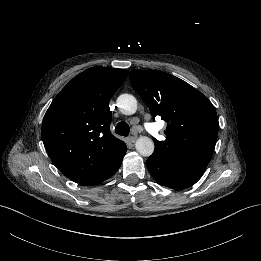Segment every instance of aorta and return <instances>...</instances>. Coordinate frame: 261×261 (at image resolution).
I'll use <instances>...</instances> for the list:
<instances>
[{
    "mask_svg": "<svg viewBox=\"0 0 261 261\" xmlns=\"http://www.w3.org/2000/svg\"><path fill=\"white\" fill-rule=\"evenodd\" d=\"M116 103L120 111L125 114H132L136 111L137 108V101L135 97L127 93L121 94L117 98ZM136 150L140 155L144 157H149L154 152V143L149 138H140L136 143Z\"/></svg>",
    "mask_w": 261,
    "mask_h": 261,
    "instance_id": "762f6f07",
    "label": "aorta"
}]
</instances>
